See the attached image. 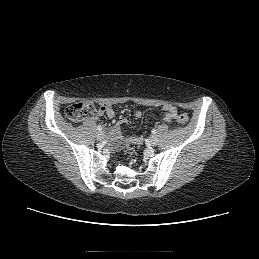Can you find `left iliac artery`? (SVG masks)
I'll list each match as a JSON object with an SVG mask.
<instances>
[{"instance_id": "44dca946", "label": "left iliac artery", "mask_w": 259, "mask_h": 259, "mask_svg": "<svg viewBox=\"0 0 259 259\" xmlns=\"http://www.w3.org/2000/svg\"><path fill=\"white\" fill-rule=\"evenodd\" d=\"M151 132H152V134H156L157 131L155 129H153Z\"/></svg>"}]
</instances>
